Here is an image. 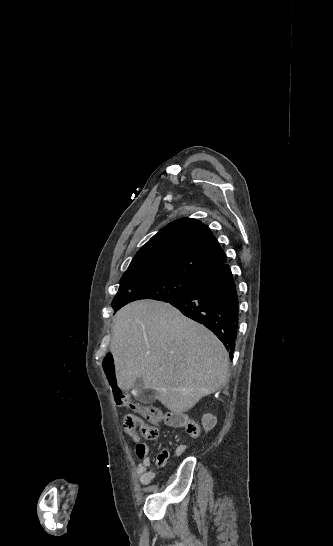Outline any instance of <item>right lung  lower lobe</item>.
Segmentation results:
<instances>
[{"instance_id":"right-lung-lower-lobe-1","label":"right lung lower lobe","mask_w":333,"mask_h":546,"mask_svg":"<svg viewBox=\"0 0 333 546\" xmlns=\"http://www.w3.org/2000/svg\"><path fill=\"white\" fill-rule=\"evenodd\" d=\"M185 316L210 329L225 345L231 359L239 328L237 286L228 264L205 276L189 292L164 300Z\"/></svg>"}]
</instances>
